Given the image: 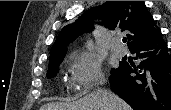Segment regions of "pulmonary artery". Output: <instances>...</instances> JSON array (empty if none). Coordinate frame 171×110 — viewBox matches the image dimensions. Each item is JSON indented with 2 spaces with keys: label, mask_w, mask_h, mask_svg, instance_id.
<instances>
[{
  "label": "pulmonary artery",
  "mask_w": 171,
  "mask_h": 110,
  "mask_svg": "<svg viewBox=\"0 0 171 110\" xmlns=\"http://www.w3.org/2000/svg\"><path fill=\"white\" fill-rule=\"evenodd\" d=\"M111 52L118 57H122L125 54V50L122 47L121 39L118 38L113 41L111 45Z\"/></svg>",
  "instance_id": "obj_1"
}]
</instances>
